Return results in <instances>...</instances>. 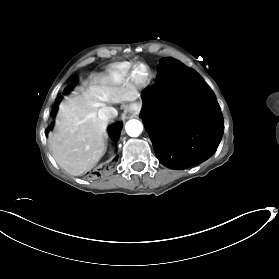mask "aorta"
I'll return each mask as SVG.
<instances>
[{"label": "aorta", "instance_id": "obj_1", "mask_svg": "<svg viewBox=\"0 0 279 279\" xmlns=\"http://www.w3.org/2000/svg\"><path fill=\"white\" fill-rule=\"evenodd\" d=\"M126 132L131 137H137L143 130V125L139 120H129L125 125Z\"/></svg>", "mask_w": 279, "mask_h": 279}]
</instances>
